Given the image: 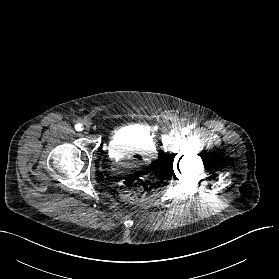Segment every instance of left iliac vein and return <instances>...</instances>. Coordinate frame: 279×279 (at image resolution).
<instances>
[{
    "instance_id": "obj_1",
    "label": "left iliac vein",
    "mask_w": 279,
    "mask_h": 279,
    "mask_svg": "<svg viewBox=\"0 0 279 279\" xmlns=\"http://www.w3.org/2000/svg\"><path fill=\"white\" fill-rule=\"evenodd\" d=\"M175 135H176L177 137H182V136L184 135V130H183L181 127H177V128L175 129Z\"/></svg>"
}]
</instances>
